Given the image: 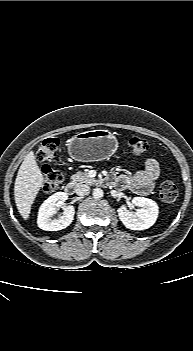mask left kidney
I'll return each instance as SVG.
<instances>
[{
    "instance_id": "1",
    "label": "left kidney",
    "mask_w": 193,
    "mask_h": 351,
    "mask_svg": "<svg viewBox=\"0 0 193 351\" xmlns=\"http://www.w3.org/2000/svg\"><path fill=\"white\" fill-rule=\"evenodd\" d=\"M132 204L138 209L128 211L125 206L118 208V216L124 226L131 230H145L150 228L157 220L158 205L155 201L145 197H134Z\"/></svg>"
}]
</instances>
